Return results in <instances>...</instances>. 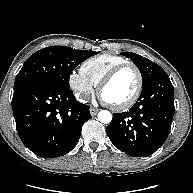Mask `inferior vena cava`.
<instances>
[{"label": "inferior vena cava", "instance_id": "1", "mask_svg": "<svg viewBox=\"0 0 193 193\" xmlns=\"http://www.w3.org/2000/svg\"><path fill=\"white\" fill-rule=\"evenodd\" d=\"M76 97L80 102H83V103H86L90 98V96L87 93L77 94Z\"/></svg>", "mask_w": 193, "mask_h": 193}]
</instances>
